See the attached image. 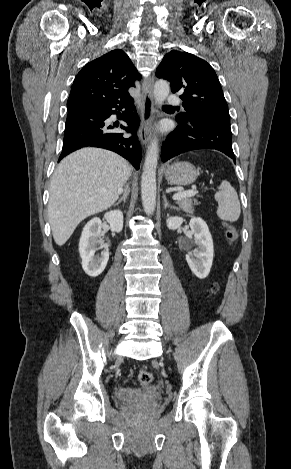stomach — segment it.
I'll list each match as a JSON object with an SVG mask.
<instances>
[{
  "mask_svg": "<svg viewBox=\"0 0 291 469\" xmlns=\"http://www.w3.org/2000/svg\"><path fill=\"white\" fill-rule=\"evenodd\" d=\"M195 166L189 162H176L164 169L165 179L172 185H189L198 177Z\"/></svg>",
  "mask_w": 291,
  "mask_h": 469,
  "instance_id": "0dacf381",
  "label": "stomach"
}]
</instances>
